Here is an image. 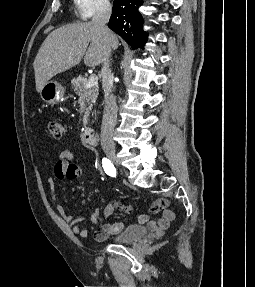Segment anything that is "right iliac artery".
Returning <instances> with one entry per match:
<instances>
[{"instance_id": "82829eb1", "label": "right iliac artery", "mask_w": 255, "mask_h": 287, "mask_svg": "<svg viewBox=\"0 0 255 287\" xmlns=\"http://www.w3.org/2000/svg\"><path fill=\"white\" fill-rule=\"evenodd\" d=\"M102 166L107 175L111 177L116 176V169L108 158L102 159Z\"/></svg>"}]
</instances>
